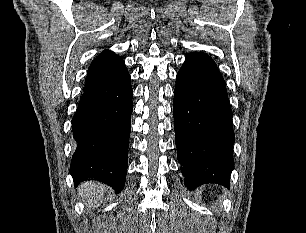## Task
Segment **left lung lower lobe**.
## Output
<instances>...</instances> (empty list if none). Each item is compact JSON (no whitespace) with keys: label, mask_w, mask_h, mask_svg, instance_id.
<instances>
[{"label":"left lung lower lobe","mask_w":306,"mask_h":233,"mask_svg":"<svg viewBox=\"0 0 306 233\" xmlns=\"http://www.w3.org/2000/svg\"><path fill=\"white\" fill-rule=\"evenodd\" d=\"M173 111L185 185L229 187L234 168L232 110L224 79L208 55L187 54L176 77Z\"/></svg>","instance_id":"0a47b994"}]
</instances>
